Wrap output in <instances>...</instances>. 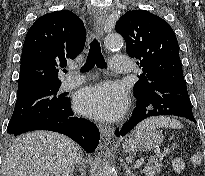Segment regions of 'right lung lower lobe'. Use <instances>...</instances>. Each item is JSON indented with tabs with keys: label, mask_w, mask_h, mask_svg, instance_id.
Segmentation results:
<instances>
[{
	"label": "right lung lower lobe",
	"mask_w": 205,
	"mask_h": 176,
	"mask_svg": "<svg viewBox=\"0 0 205 176\" xmlns=\"http://www.w3.org/2000/svg\"><path fill=\"white\" fill-rule=\"evenodd\" d=\"M69 99L61 105H52L12 135L33 130H50L67 135L86 152H93L99 143L100 133L90 121L73 116Z\"/></svg>",
	"instance_id": "right-lung-lower-lobe-1"
}]
</instances>
